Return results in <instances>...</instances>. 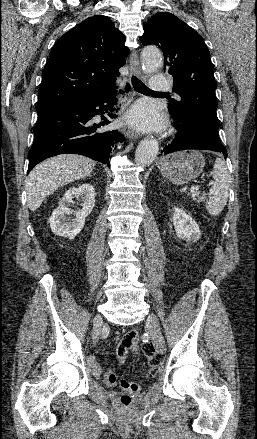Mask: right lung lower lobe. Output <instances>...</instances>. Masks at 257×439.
<instances>
[{
    "label": "right lung lower lobe",
    "instance_id": "98d812e1",
    "mask_svg": "<svg viewBox=\"0 0 257 439\" xmlns=\"http://www.w3.org/2000/svg\"><path fill=\"white\" fill-rule=\"evenodd\" d=\"M130 88L126 86V91ZM116 86L104 94L74 100L38 112V122L34 128V142L29 151L28 173L48 157L58 154L76 153L100 161L110 167V152L114 145L122 142L117 130L101 128L112 118ZM100 115L103 122L93 118Z\"/></svg>",
    "mask_w": 257,
    "mask_h": 439
}]
</instances>
